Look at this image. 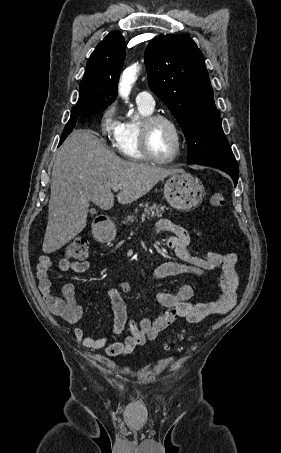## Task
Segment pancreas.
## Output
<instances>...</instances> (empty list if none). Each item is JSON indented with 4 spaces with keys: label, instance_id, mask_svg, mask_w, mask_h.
<instances>
[{
    "label": "pancreas",
    "instance_id": "cf45deb5",
    "mask_svg": "<svg viewBox=\"0 0 281 453\" xmlns=\"http://www.w3.org/2000/svg\"><path fill=\"white\" fill-rule=\"evenodd\" d=\"M142 208V216H146V218H160L163 212H165V206L162 204H150V202H145V204H140ZM135 212H138V208H135Z\"/></svg>",
    "mask_w": 281,
    "mask_h": 453
}]
</instances>
